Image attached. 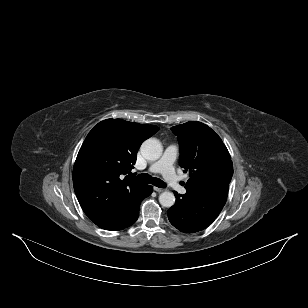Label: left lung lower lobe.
<instances>
[{"label": "left lung lower lobe", "instance_id": "left-lung-lower-lobe-1", "mask_svg": "<svg viewBox=\"0 0 308 308\" xmlns=\"http://www.w3.org/2000/svg\"><path fill=\"white\" fill-rule=\"evenodd\" d=\"M229 185L209 188L194 195L174 192L176 203L168 210L171 224L181 232L194 233L208 227L226 203Z\"/></svg>", "mask_w": 308, "mask_h": 308}]
</instances>
